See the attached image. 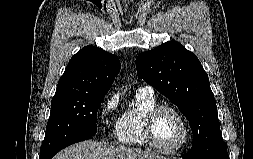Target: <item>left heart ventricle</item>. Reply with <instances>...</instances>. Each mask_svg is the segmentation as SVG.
Returning a JSON list of instances; mask_svg holds the SVG:
<instances>
[{"label":"left heart ventricle","mask_w":253,"mask_h":159,"mask_svg":"<svg viewBox=\"0 0 253 159\" xmlns=\"http://www.w3.org/2000/svg\"><path fill=\"white\" fill-rule=\"evenodd\" d=\"M157 143L162 147H174L182 139L183 125L179 117L171 111L161 112L154 123Z\"/></svg>","instance_id":"obj_1"}]
</instances>
